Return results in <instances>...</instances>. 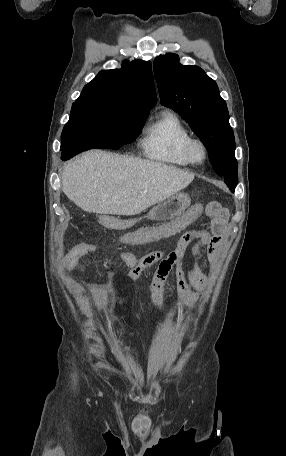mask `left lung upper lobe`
<instances>
[{
  "instance_id": "1",
  "label": "left lung upper lobe",
  "mask_w": 286,
  "mask_h": 456,
  "mask_svg": "<svg viewBox=\"0 0 286 456\" xmlns=\"http://www.w3.org/2000/svg\"><path fill=\"white\" fill-rule=\"evenodd\" d=\"M154 74L162 105L190 125L208 150L214 170L234 191L238 181L235 139L216 82L200 67L180 64L172 53L155 59Z\"/></svg>"
}]
</instances>
